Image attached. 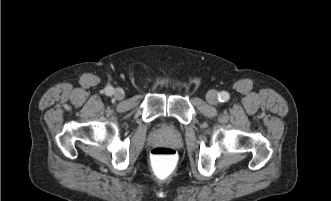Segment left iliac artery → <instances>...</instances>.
I'll return each mask as SVG.
<instances>
[{
  "label": "left iliac artery",
  "instance_id": "1",
  "mask_svg": "<svg viewBox=\"0 0 331 201\" xmlns=\"http://www.w3.org/2000/svg\"><path fill=\"white\" fill-rule=\"evenodd\" d=\"M219 101L226 102L229 99V94L227 92H221L218 94Z\"/></svg>",
  "mask_w": 331,
  "mask_h": 201
}]
</instances>
